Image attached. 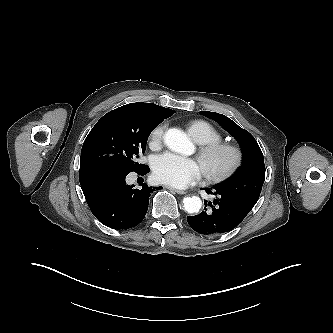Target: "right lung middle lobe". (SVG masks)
I'll list each match as a JSON object with an SVG mask.
<instances>
[{
	"label": "right lung middle lobe",
	"instance_id": "obj_1",
	"mask_svg": "<svg viewBox=\"0 0 333 333\" xmlns=\"http://www.w3.org/2000/svg\"><path fill=\"white\" fill-rule=\"evenodd\" d=\"M164 119L147 112L118 108L105 114L84 141L79 173L96 169L141 170L145 165L137 159L145 152L151 131Z\"/></svg>",
	"mask_w": 333,
	"mask_h": 333
}]
</instances>
